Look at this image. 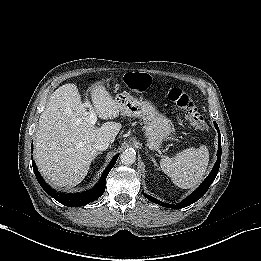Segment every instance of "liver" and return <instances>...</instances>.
<instances>
[{
    "label": "liver",
    "mask_w": 261,
    "mask_h": 261,
    "mask_svg": "<svg viewBox=\"0 0 261 261\" xmlns=\"http://www.w3.org/2000/svg\"><path fill=\"white\" fill-rule=\"evenodd\" d=\"M91 98L101 119L119 116L116 101L102 85L92 89ZM89 115L75 84L62 85L50 96L39 118L34 149L39 171L50 184L70 187L79 184L96 157V140L107 138L113 142L122 128L113 121L96 127L90 123Z\"/></svg>",
    "instance_id": "1"
}]
</instances>
